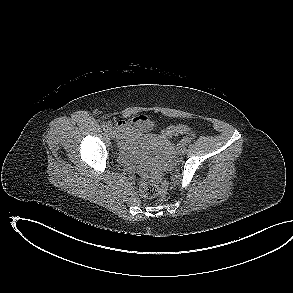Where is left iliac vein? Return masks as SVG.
Here are the masks:
<instances>
[{"mask_svg":"<svg viewBox=\"0 0 293 293\" xmlns=\"http://www.w3.org/2000/svg\"><path fill=\"white\" fill-rule=\"evenodd\" d=\"M186 152H187V149L184 146H181L180 153L185 154Z\"/></svg>","mask_w":293,"mask_h":293,"instance_id":"4c4485c4","label":"left iliac vein"}]
</instances>
